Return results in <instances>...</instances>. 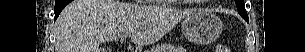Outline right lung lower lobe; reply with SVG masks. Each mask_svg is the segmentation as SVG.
I'll return each instance as SVG.
<instances>
[{"label": "right lung lower lobe", "instance_id": "right-lung-lower-lobe-1", "mask_svg": "<svg viewBox=\"0 0 305 52\" xmlns=\"http://www.w3.org/2000/svg\"><path fill=\"white\" fill-rule=\"evenodd\" d=\"M71 0H56L55 2V19L54 21L57 19V17L59 16L60 12L62 11V9L68 4L70 3Z\"/></svg>", "mask_w": 305, "mask_h": 52}]
</instances>
